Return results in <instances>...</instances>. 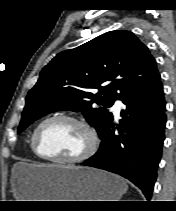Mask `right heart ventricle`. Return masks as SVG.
<instances>
[{
    "label": "right heart ventricle",
    "instance_id": "obj_1",
    "mask_svg": "<svg viewBox=\"0 0 176 211\" xmlns=\"http://www.w3.org/2000/svg\"><path fill=\"white\" fill-rule=\"evenodd\" d=\"M32 137V136H31ZM30 148L33 151V153L35 154L34 150H33V146H32V140L30 139Z\"/></svg>",
    "mask_w": 176,
    "mask_h": 211
}]
</instances>
